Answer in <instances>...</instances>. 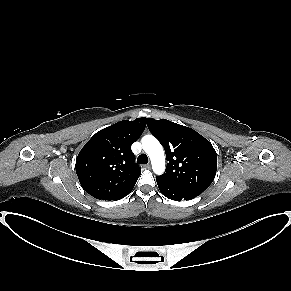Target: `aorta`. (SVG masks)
Segmentation results:
<instances>
[{"label": "aorta", "mask_w": 291, "mask_h": 291, "mask_svg": "<svg viewBox=\"0 0 291 291\" xmlns=\"http://www.w3.org/2000/svg\"><path fill=\"white\" fill-rule=\"evenodd\" d=\"M142 146L151 159L153 172L161 175L165 171V157L162 145L154 136L145 135L142 138Z\"/></svg>", "instance_id": "aorta-1"}]
</instances>
